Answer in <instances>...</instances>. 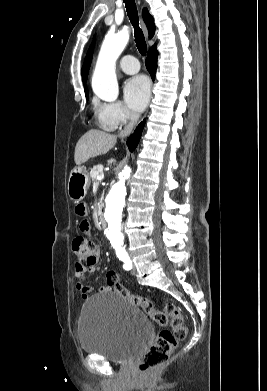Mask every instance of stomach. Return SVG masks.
I'll list each match as a JSON object with an SVG mask.
<instances>
[{"label":"stomach","mask_w":267,"mask_h":391,"mask_svg":"<svg viewBox=\"0 0 267 391\" xmlns=\"http://www.w3.org/2000/svg\"><path fill=\"white\" fill-rule=\"evenodd\" d=\"M90 186V174L84 167L74 168L69 176L67 194L74 202L81 201L87 194Z\"/></svg>","instance_id":"obj_1"}]
</instances>
